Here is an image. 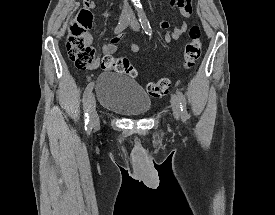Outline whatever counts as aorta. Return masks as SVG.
<instances>
[{"label": "aorta", "mask_w": 275, "mask_h": 215, "mask_svg": "<svg viewBox=\"0 0 275 215\" xmlns=\"http://www.w3.org/2000/svg\"><path fill=\"white\" fill-rule=\"evenodd\" d=\"M134 3H139L140 2V0H132Z\"/></svg>", "instance_id": "762f6f07"}]
</instances>
